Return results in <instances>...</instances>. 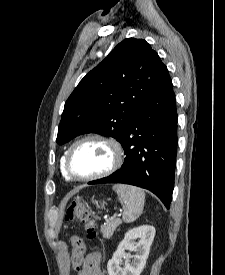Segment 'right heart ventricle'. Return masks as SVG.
<instances>
[{"label": "right heart ventricle", "mask_w": 225, "mask_h": 275, "mask_svg": "<svg viewBox=\"0 0 225 275\" xmlns=\"http://www.w3.org/2000/svg\"><path fill=\"white\" fill-rule=\"evenodd\" d=\"M64 160H65V155L61 159L60 170H61V173H62L64 178L70 179V177L68 176V174L66 173L65 168H64Z\"/></svg>", "instance_id": "right-heart-ventricle-1"}]
</instances>
